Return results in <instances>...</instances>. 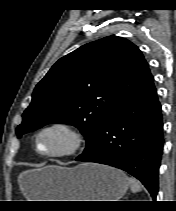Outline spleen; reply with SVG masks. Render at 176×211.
Returning <instances> with one entry per match:
<instances>
[{"instance_id": "spleen-1", "label": "spleen", "mask_w": 176, "mask_h": 211, "mask_svg": "<svg viewBox=\"0 0 176 211\" xmlns=\"http://www.w3.org/2000/svg\"><path fill=\"white\" fill-rule=\"evenodd\" d=\"M128 181H129V184H130L131 191L133 193L141 191V184L139 183L138 180L130 177V178H128Z\"/></svg>"}]
</instances>
